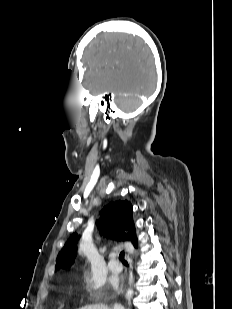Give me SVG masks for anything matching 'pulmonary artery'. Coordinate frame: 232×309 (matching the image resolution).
Returning <instances> with one entry per match:
<instances>
[{
	"label": "pulmonary artery",
	"instance_id": "1",
	"mask_svg": "<svg viewBox=\"0 0 232 309\" xmlns=\"http://www.w3.org/2000/svg\"><path fill=\"white\" fill-rule=\"evenodd\" d=\"M108 269L114 274H118L123 270L122 265L115 260L114 255L111 256V259L108 262Z\"/></svg>",
	"mask_w": 232,
	"mask_h": 309
}]
</instances>
